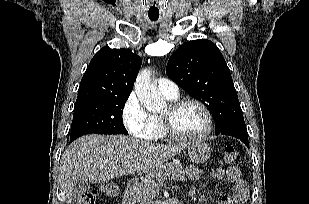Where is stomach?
<instances>
[{
	"mask_svg": "<svg viewBox=\"0 0 309 204\" xmlns=\"http://www.w3.org/2000/svg\"><path fill=\"white\" fill-rule=\"evenodd\" d=\"M212 149L208 143L203 140H195L188 145V156L189 159L196 164L206 162L210 155Z\"/></svg>",
	"mask_w": 309,
	"mask_h": 204,
	"instance_id": "obj_1",
	"label": "stomach"
}]
</instances>
